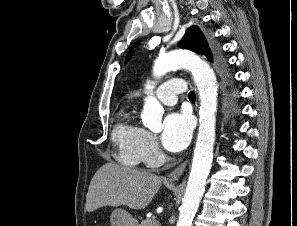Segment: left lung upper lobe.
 <instances>
[{
  "label": "left lung upper lobe",
  "mask_w": 297,
  "mask_h": 226,
  "mask_svg": "<svg viewBox=\"0 0 297 226\" xmlns=\"http://www.w3.org/2000/svg\"><path fill=\"white\" fill-rule=\"evenodd\" d=\"M178 46L205 55L210 60L212 59L208 43L197 26H192L186 30L185 35L178 43ZM130 54L131 52H129L126 60L130 58Z\"/></svg>",
  "instance_id": "left-lung-upper-lobe-1"
}]
</instances>
